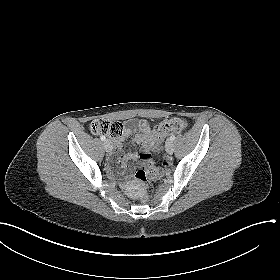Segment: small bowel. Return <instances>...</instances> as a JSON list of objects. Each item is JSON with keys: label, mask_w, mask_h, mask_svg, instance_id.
Returning a JSON list of instances; mask_svg holds the SVG:
<instances>
[{"label": "small bowel", "mask_w": 280, "mask_h": 280, "mask_svg": "<svg viewBox=\"0 0 280 280\" xmlns=\"http://www.w3.org/2000/svg\"><path fill=\"white\" fill-rule=\"evenodd\" d=\"M132 137L133 144L139 149V153L129 152L122 158V163L135 161L137 159L146 160L150 157V153L155 150L157 146V139L153 137L152 126L148 121L129 120L122 127V134L113 140L116 150H122L126 137ZM109 162L113 163L112 157H109Z\"/></svg>", "instance_id": "1"}]
</instances>
